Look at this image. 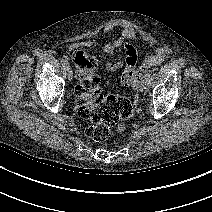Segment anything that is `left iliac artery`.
<instances>
[{
	"mask_svg": "<svg viewBox=\"0 0 212 212\" xmlns=\"http://www.w3.org/2000/svg\"><path fill=\"white\" fill-rule=\"evenodd\" d=\"M142 82L145 85V89H148L151 86V75H150V73L145 74Z\"/></svg>",
	"mask_w": 212,
	"mask_h": 212,
	"instance_id": "44dca946",
	"label": "left iliac artery"
}]
</instances>
